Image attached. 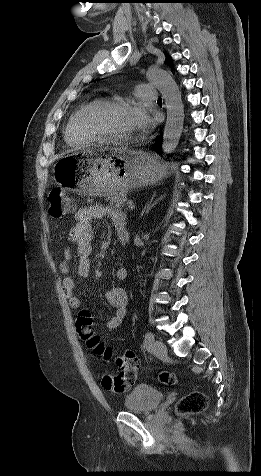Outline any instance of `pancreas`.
I'll use <instances>...</instances> for the list:
<instances>
[{
	"label": "pancreas",
	"instance_id": "cf45deb5",
	"mask_svg": "<svg viewBox=\"0 0 261 476\" xmlns=\"http://www.w3.org/2000/svg\"><path fill=\"white\" fill-rule=\"evenodd\" d=\"M127 202V198L122 195L110 198V204L119 210L123 209Z\"/></svg>",
	"mask_w": 261,
	"mask_h": 476
}]
</instances>
